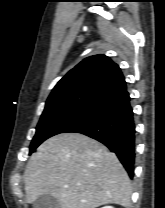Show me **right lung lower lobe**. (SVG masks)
Segmentation results:
<instances>
[{
    "mask_svg": "<svg viewBox=\"0 0 165 208\" xmlns=\"http://www.w3.org/2000/svg\"><path fill=\"white\" fill-rule=\"evenodd\" d=\"M65 132L81 133L103 143L116 153L130 178H133L135 124L127 90L101 100Z\"/></svg>",
    "mask_w": 165,
    "mask_h": 208,
    "instance_id": "1",
    "label": "right lung lower lobe"
}]
</instances>
